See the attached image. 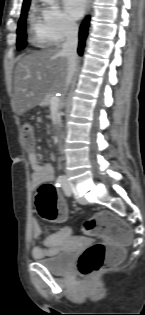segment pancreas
Instances as JSON below:
<instances>
[{
	"label": "pancreas",
	"mask_w": 145,
	"mask_h": 315,
	"mask_svg": "<svg viewBox=\"0 0 145 315\" xmlns=\"http://www.w3.org/2000/svg\"><path fill=\"white\" fill-rule=\"evenodd\" d=\"M51 96H48L44 101H43V104L44 105H50V103H51Z\"/></svg>",
	"instance_id": "1"
}]
</instances>
